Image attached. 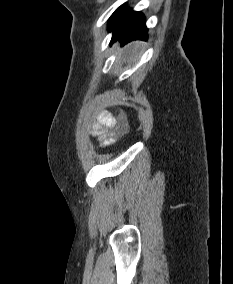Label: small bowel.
I'll return each instance as SVG.
<instances>
[{"instance_id":"small-bowel-1","label":"small bowel","mask_w":233,"mask_h":284,"mask_svg":"<svg viewBox=\"0 0 233 284\" xmlns=\"http://www.w3.org/2000/svg\"><path fill=\"white\" fill-rule=\"evenodd\" d=\"M125 119L117 122L112 116L105 115L101 121L93 126L92 135L102 141L103 145H109L113 142L115 131L124 127Z\"/></svg>"}]
</instances>
